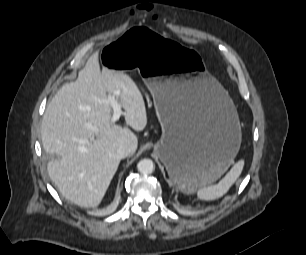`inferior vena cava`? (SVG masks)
Here are the masks:
<instances>
[{"instance_id": "obj_1", "label": "inferior vena cava", "mask_w": 306, "mask_h": 255, "mask_svg": "<svg viewBox=\"0 0 306 255\" xmlns=\"http://www.w3.org/2000/svg\"><path fill=\"white\" fill-rule=\"evenodd\" d=\"M132 153H133V148L128 144L121 145L117 149V156L120 159H123V158H126V157L130 156Z\"/></svg>"}]
</instances>
